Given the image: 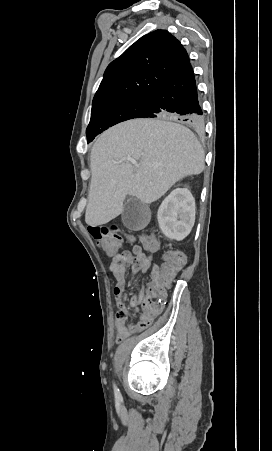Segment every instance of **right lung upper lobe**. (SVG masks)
Segmentation results:
<instances>
[{
	"mask_svg": "<svg viewBox=\"0 0 272 451\" xmlns=\"http://www.w3.org/2000/svg\"><path fill=\"white\" fill-rule=\"evenodd\" d=\"M189 62L181 43L166 30L151 32L107 67L92 106L131 96H150Z\"/></svg>",
	"mask_w": 272,
	"mask_h": 451,
	"instance_id": "obj_1",
	"label": "right lung upper lobe"
}]
</instances>
